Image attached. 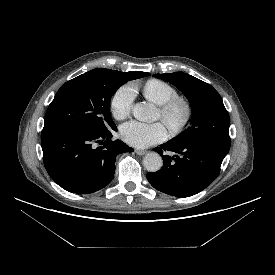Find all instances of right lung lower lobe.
Listing matches in <instances>:
<instances>
[{"label": "right lung lower lobe", "mask_w": 275, "mask_h": 275, "mask_svg": "<svg viewBox=\"0 0 275 275\" xmlns=\"http://www.w3.org/2000/svg\"><path fill=\"white\" fill-rule=\"evenodd\" d=\"M112 131L117 127L92 132L71 125L44 126L41 146L50 177L63 189L77 194L107 186L114 177L116 156L134 151L120 140L112 141Z\"/></svg>", "instance_id": "98d812e1"}]
</instances>
